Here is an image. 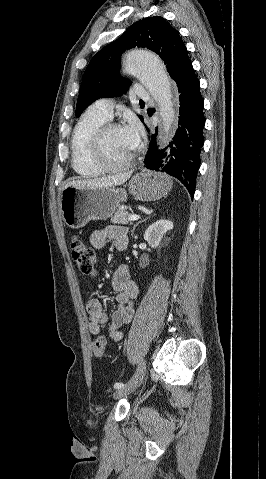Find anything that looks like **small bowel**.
I'll return each instance as SVG.
<instances>
[{"label":"small bowel","mask_w":266,"mask_h":479,"mask_svg":"<svg viewBox=\"0 0 266 479\" xmlns=\"http://www.w3.org/2000/svg\"><path fill=\"white\" fill-rule=\"evenodd\" d=\"M108 241L113 242L116 250H124L128 246L127 229L124 226L112 225L96 230L90 236V242L96 248L104 247ZM93 276L95 273L92 274ZM112 288L115 292L117 308L110 315L106 313L101 301L92 299L87 303L89 330L94 335L106 333L112 340L120 341L124 329L133 319L139 293L138 285L130 277V269L127 265H120L114 272Z\"/></svg>","instance_id":"small-bowel-1"}]
</instances>
